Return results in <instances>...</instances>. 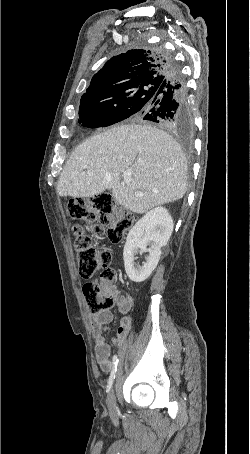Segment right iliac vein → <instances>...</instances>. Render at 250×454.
Here are the masks:
<instances>
[{"label":"right iliac vein","mask_w":250,"mask_h":454,"mask_svg":"<svg viewBox=\"0 0 250 454\" xmlns=\"http://www.w3.org/2000/svg\"><path fill=\"white\" fill-rule=\"evenodd\" d=\"M107 404L111 414H115L116 412V404H115V394H114V387L109 391L107 396Z\"/></svg>","instance_id":"63e3f726"}]
</instances>
